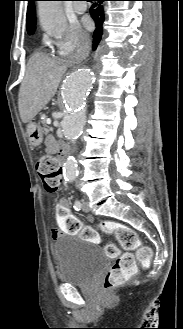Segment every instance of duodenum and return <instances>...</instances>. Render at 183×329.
Masks as SVG:
<instances>
[{"instance_id":"1","label":"duodenum","mask_w":183,"mask_h":329,"mask_svg":"<svg viewBox=\"0 0 183 329\" xmlns=\"http://www.w3.org/2000/svg\"><path fill=\"white\" fill-rule=\"evenodd\" d=\"M67 146L65 144H62L61 147L58 150L59 160L61 163L64 162L65 154L67 152Z\"/></svg>"}]
</instances>
